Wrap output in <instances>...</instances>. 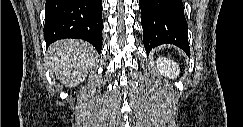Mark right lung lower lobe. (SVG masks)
Wrapping results in <instances>:
<instances>
[{
	"label": "right lung lower lobe",
	"instance_id": "right-lung-lower-lobe-1",
	"mask_svg": "<svg viewBox=\"0 0 243 127\" xmlns=\"http://www.w3.org/2000/svg\"><path fill=\"white\" fill-rule=\"evenodd\" d=\"M102 0H46L44 39L46 46L65 38L90 42L102 49Z\"/></svg>",
	"mask_w": 243,
	"mask_h": 127
}]
</instances>
